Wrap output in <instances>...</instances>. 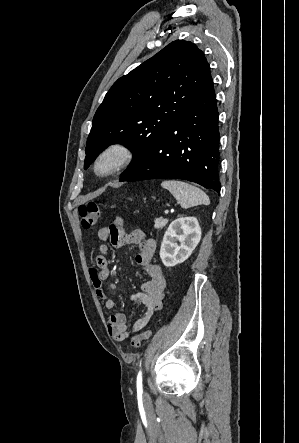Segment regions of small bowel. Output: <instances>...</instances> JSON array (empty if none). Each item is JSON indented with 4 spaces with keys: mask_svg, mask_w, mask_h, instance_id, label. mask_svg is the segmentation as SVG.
Segmentation results:
<instances>
[{
    "mask_svg": "<svg viewBox=\"0 0 299 443\" xmlns=\"http://www.w3.org/2000/svg\"><path fill=\"white\" fill-rule=\"evenodd\" d=\"M98 237L101 243L98 247L99 253L95 257V267L90 270V279L97 296L104 301V306L109 311L115 309L116 303L106 295L103 289V282L107 280L110 275L109 262L106 255L109 253L111 246L123 248L136 245L139 247L136 261L142 266L149 280L142 284L139 292L131 296L132 301L140 302L146 307L144 316L138 319L132 327V332H138L144 328L151 317L162 308V301L165 295V275L159 265L152 263V258L157 247L156 241L148 238L145 233L139 229L125 233L124 223L120 217H116L111 224L101 227L98 231ZM108 332L117 342L124 341L128 338L127 318L123 313H114L109 317Z\"/></svg>",
    "mask_w": 299,
    "mask_h": 443,
    "instance_id": "obj_1",
    "label": "small bowel"
}]
</instances>
